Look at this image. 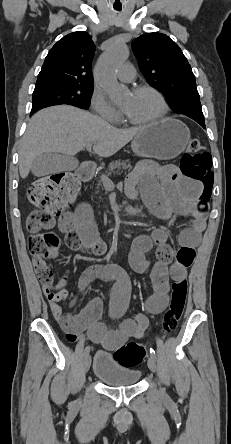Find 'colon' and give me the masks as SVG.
Wrapping results in <instances>:
<instances>
[{"mask_svg":"<svg viewBox=\"0 0 231 444\" xmlns=\"http://www.w3.org/2000/svg\"><path fill=\"white\" fill-rule=\"evenodd\" d=\"M181 172L187 178L205 186L201 193L200 202L206 204L210 199L209 188L213 182L211 156L200 142L193 139L189 142L180 163ZM79 189V182L72 174H53L36 180L28 190L29 201L39 210L32 212L27 220L29 232L28 247L34 260L44 261L47 257H56L59 253V239L50 232L55 224V218L67 209L74 201ZM43 289L52 291L55 288L53 273L44 268L38 273ZM65 282V278L58 286ZM188 291L186 278L174 280L170 306L162 319V333L173 332L183 313ZM146 354L145 347L136 342H129L114 352L116 359L126 366L140 364Z\"/></svg>","mask_w":231,"mask_h":444,"instance_id":"colon-1","label":"colon"}]
</instances>
